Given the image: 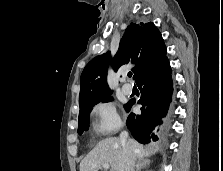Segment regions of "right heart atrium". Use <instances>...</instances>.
<instances>
[{"label":"right heart atrium","instance_id":"obj_1","mask_svg":"<svg viewBox=\"0 0 223 171\" xmlns=\"http://www.w3.org/2000/svg\"><path fill=\"white\" fill-rule=\"evenodd\" d=\"M93 130L100 136L117 132L122 126V120L116 106L110 101H102L92 109Z\"/></svg>","mask_w":223,"mask_h":171}]
</instances>
